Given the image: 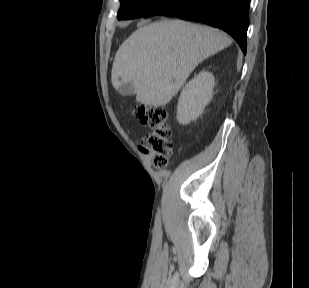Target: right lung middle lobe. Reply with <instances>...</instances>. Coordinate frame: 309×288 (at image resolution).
Instances as JSON below:
<instances>
[{
  "instance_id": "dd1d6c3e",
  "label": "right lung middle lobe",
  "mask_w": 309,
  "mask_h": 288,
  "mask_svg": "<svg viewBox=\"0 0 309 288\" xmlns=\"http://www.w3.org/2000/svg\"><path fill=\"white\" fill-rule=\"evenodd\" d=\"M121 8L117 14L118 20L142 17L146 12L162 3L164 0H120Z\"/></svg>"
}]
</instances>
